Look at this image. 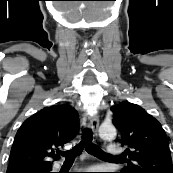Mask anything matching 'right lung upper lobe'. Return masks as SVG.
<instances>
[{"instance_id":"cb5924a9","label":"right lung upper lobe","mask_w":173,"mask_h":173,"mask_svg":"<svg viewBox=\"0 0 173 173\" xmlns=\"http://www.w3.org/2000/svg\"><path fill=\"white\" fill-rule=\"evenodd\" d=\"M79 130L77 112L69 105L45 107L24 121L11 148L6 173L26 168H44L58 160L55 152Z\"/></svg>"}]
</instances>
